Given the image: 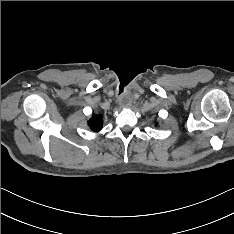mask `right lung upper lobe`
<instances>
[{"label": "right lung upper lobe", "mask_w": 234, "mask_h": 234, "mask_svg": "<svg viewBox=\"0 0 234 234\" xmlns=\"http://www.w3.org/2000/svg\"><path fill=\"white\" fill-rule=\"evenodd\" d=\"M88 125L93 131L95 132L100 131L103 125L102 116L94 114L92 118L88 121Z\"/></svg>", "instance_id": "cb5924a9"}]
</instances>
